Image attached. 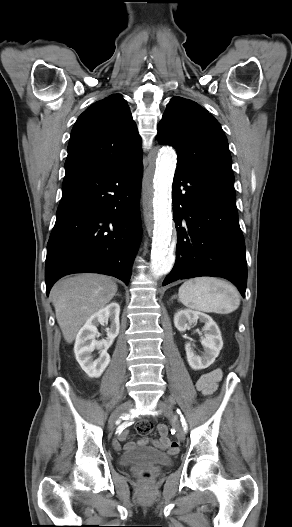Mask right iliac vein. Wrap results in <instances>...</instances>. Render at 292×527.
Segmentation results:
<instances>
[{"label": "right iliac vein", "mask_w": 292, "mask_h": 527, "mask_svg": "<svg viewBox=\"0 0 292 527\" xmlns=\"http://www.w3.org/2000/svg\"><path fill=\"white\" fill-rule=\"evenodd\" d=\"M133 407V404L131 402H125L122 405H120L110 416L109 419V429L112 430L114 428V425L116 421L124 415L129 409Z\"/></svg>", "instance_id": "63e3f726"}]
</instances>
